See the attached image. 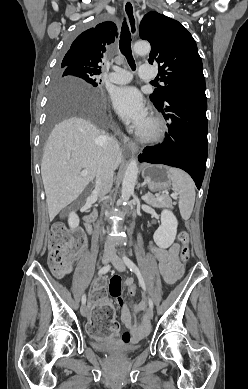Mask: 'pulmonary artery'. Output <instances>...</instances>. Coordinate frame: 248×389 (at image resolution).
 <instances>
[{
	"label": "pulmonary artery",
	"mask_w": 248,
	"mask_h": 389,
	"mask_svg": "<svg viewBox=\"0 0 248 389\" xmlns=\"http://www.w3.org/2000/svg\"><path fill=\"white\" fill-rule=\"evenodd\" d=\"M139 76L144 80H151L154 78V71L148 64H142L139 69ZM132 74L118 66L114 67V71L107 75V80L117 84H124L130 82Z\"/></svg>",
	"instance_id": "1"
}]
</instances>
